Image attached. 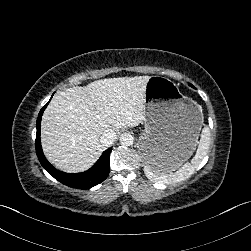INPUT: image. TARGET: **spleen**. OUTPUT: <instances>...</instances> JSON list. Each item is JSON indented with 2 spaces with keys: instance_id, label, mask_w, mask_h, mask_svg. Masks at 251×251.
<instances>
[{
  "instance_id": "obj_1",
  "label": "spleen",
  "mask_w": 251,
  "mask_h": 251,
  "mask_svg": "<svg viewBox=\"0 0 251 251\" xmlns=\"http://www.w3.org/2000/svg\"><path fill=\"white\" fill-rule=\"evenodd\" d=\"M210 141V128L208 126H204L195 155L191 158L190 162H185L182 166H180L177 172H170L166 174V172H163L149 164L144 166V172L150 180L154 182L176 183L185 180L195 172L207 155Z\"/></svg>"
}]
</instances>
